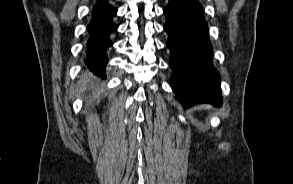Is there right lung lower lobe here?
<instances>
[{
  "label": "right lung lower lobe",
  "instance_id": "right-lung-lower-lobe-1",
  "mask_svg": "<svg viewBox=\"0 0 293 184\" xmlns=\"http://www.w3.org/2000/svg\"><path fill=\"white\" fill-rule=\"evenodd\" d=\"M117 9L99 0L92 10V19L88 24L90 38L87 42L86 65L96 75L105 78L104 68L107 63L105 50L112 45L109 35L118 26L112 21Z\"/></svg>",
  "mask_w": 293,
  "mask_h": 184
}]
</instances>
